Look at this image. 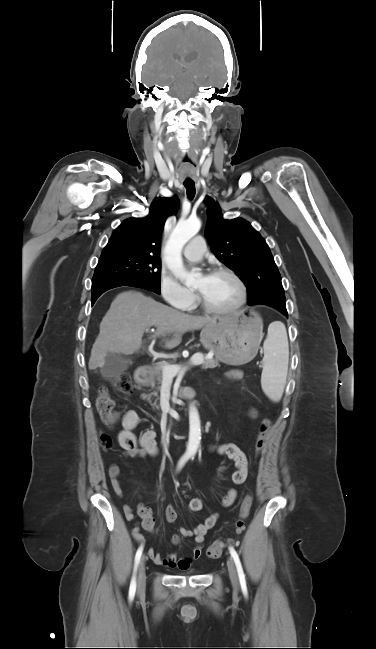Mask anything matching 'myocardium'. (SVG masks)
Instances as JSON below:
<instances>
[{
  "instance_id": "myocardium-1",
  "label": "myocardium",
  "mask_w": 376,
  "mask_h": 649,
  "mask_svg": "<svg viewBox=\"0 0 376 649\" xmlns=\"http://www.w3.org/2000/svg\"><path fill=\"white\" fill-rule=\"evenodd\" d=\"M220 273L227 274L237 284V286L239 288V298H238L237 302L235 304H233L232 306L228 307V308H223V309L214 308V307L210 306L207 303V301L205 300V298L203 297V295L199 291L196 290L197 302H198L199 306L204 311H206V312H208L210 314H213V315H230V314H234L238 310H240L244 306V304L246 303V300H247V287H246L244 281L242 280V278L234 270H232V269H230L228 267H225V266L213 267L210 270L209 274H220Z\"/></svg>"
}]
</instances>
